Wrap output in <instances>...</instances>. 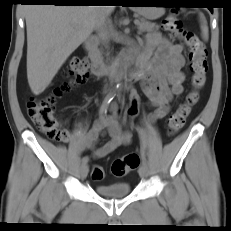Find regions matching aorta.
Masks as SVG:
<instances>
[{"label":"aorta","instance_id":"762f6f07","mask_svg":"<svg viewBox=\"0 0 231 231\" xmlns=\"http://www.w3.org/2000/svg\"><path fill=\"white\" fill-rule=\"evenodd\" d=\"M120 82H121V78H119V79L117 80V83H118V84H120Z\"/></svg>","mask_w":231,"mask_h":231}]
</instances>
